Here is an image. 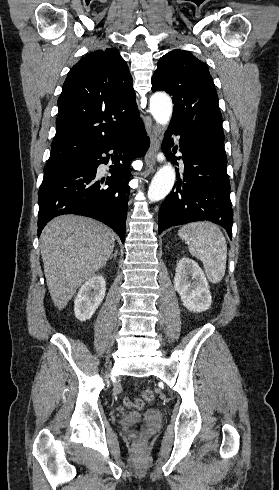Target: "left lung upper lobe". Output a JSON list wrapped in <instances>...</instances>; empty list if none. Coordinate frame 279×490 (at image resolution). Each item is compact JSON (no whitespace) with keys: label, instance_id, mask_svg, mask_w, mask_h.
<instances>
[{"label":"left lung upper lobe","instance_id":"5c2ea615","mask_svg":"<svg viewBox=\"0 0 279 490\" xmlns=\"http://www.w3.org/2000/svg\"><path fill=\"white\" fill-rule=\"evenodd\" d=\"M156 90L173 96L171 124L223 143L218 96L206 64L187 51L168 52L152 77V91Z\"/></svg>","mask_w":279,"mask_h":490}]
</instances>
